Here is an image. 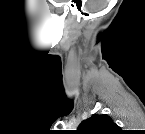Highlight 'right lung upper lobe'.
Wrapping results in <instances>:
<instances>
[{"label":"right lung upper lobe","mask_w":145,"mask_h":134,"mask_svg":"<svg viewBox=\"0 0 145 134\" xmlns=\"http://www.w3.org/2000/svg\"><path fill=\"white\" fill-rule=\"evenodd\" d=\"M120 127L106 114H94L89 119L83 121L78 129L77 134H116Z\"/></svg>","instance_id":"right-lung-upper-lobe-1"}]
</instances>
